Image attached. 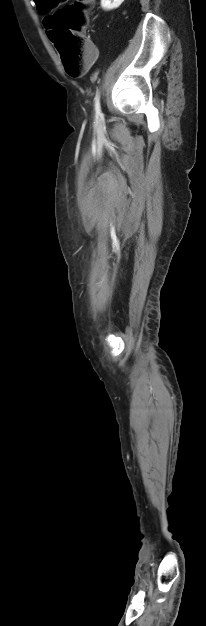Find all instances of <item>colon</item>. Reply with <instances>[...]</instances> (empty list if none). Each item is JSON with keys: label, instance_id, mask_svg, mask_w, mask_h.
<instances>
[{"label": "colon", "instance_id": "5ec220e1", "mask_svg": "<svg viewBox=\"0 0 206 626\" xmlns=\"http://www.w3.org/2000/svg\"><path fill=\"white\" fill-rule=\"evenodd\" d=\"M94 0H43L40 10H55L47 19L50 39L57 48L67 73L79 76L90 58L83 30L88 23V9Z\"/></svg>", "mask_w": 206, "mask_h": 626}]
</instances>
